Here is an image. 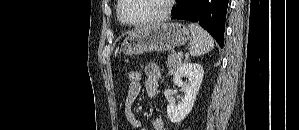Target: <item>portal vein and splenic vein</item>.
<instances>
[{
    "mask_svg": "<svg viewBox=\"0 0 299 130\" xmlns=\"http://www.w3.org/2000/svg\"><path fill=\"white\" fill-rule=\"evenodd\" d=\"M182 55H183V54H182L181 52H178V56H179V57H182Z\"/></svg>",
    "mask_w": 299,
    "mask_h": 130,
    "instance_id": "obj_1",
    "label": "portal vein and splenic vein"
}]
</instances>
